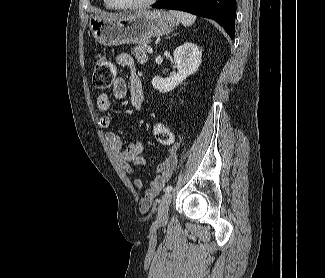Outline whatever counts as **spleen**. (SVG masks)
I'll return each instance as SVG.
<instances>
[{
	"mask_svg": "<svg viewBox=\"0 0 325 278\" xmlns=\"http://www.w3.org/2000/svg\"><path fill=\"white\" fill-rule=\"evenodd\" d=\"M169 13L176 17L177 20L181 22L185 27L191 26L196 20V16L190 13L174 10L169 11Z\"/></svg>",
	"mask_w": 325,
	"mask_h": 278,
	"instance_id": "3e777b00",
	"label": "spleen"
}]
</instances>
